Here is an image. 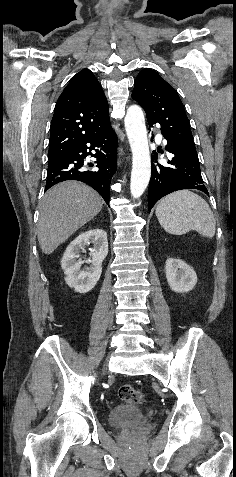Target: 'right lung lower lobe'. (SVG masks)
I'll return each mask as SVG.
<instances>
[{"instance_id":"1","label":"right lung lower lobe","mask_w":236,"mask_h":477,"mask_svg":"<svg viewBox=\"0 0 236 477\" xmlns=\"http://www.w3.org/2000/svg\"><path fill=\"white\" fill-rule=\"evenodd\" d=\"M117 137L111 123L83 139L60 159L49 161L45 190L65 180H78L94 188L109 204V187L117 167ZM95 151V153H92ZM96 159V166L86 163L87 156Z\"/></svg>"}]
</instances>
